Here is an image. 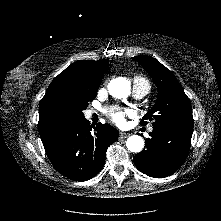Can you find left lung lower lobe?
I'll return each mask as SVG.
<instances>
[{
    "label": "left lung lower lobe",
    "instance_id": "left-lung-lower-lobe-1",
    "mask_svg": "<svg viewBox=\"0 0 221 221\" xmlns=\"http://www.w3.org/2000/svg\"><path fill=\"white\" fill-rule=\"evenodd\" d=\"M149 135L145 148L134 156L136 167L154 178L173 174L188 155L192 130L161 126L153 127Z\"/></svg>",
    "mask_w": 221,
    "mask_h": 221
}]
</instances>
